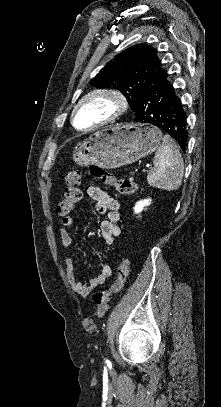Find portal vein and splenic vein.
I'll list each match as a JSON object with an SVG mask.
<instances>
[{
  "mask_svg": "<svg viewBox=\"0 0 221 407\" xmlns=\"http://www.w3.org/2000/svg\"><path fill=\"white\" fill-rule=\"evenodd\" d=\"M149 169H150V168L143 169L142 172H143V173H146V172H148Z\"/></svg>",
  "mask_w": 221,
  "mask_h": 407,
  "instance_id": "18ae733b",
  "label": "portal vein and splenic vein"
}]
</instances>
